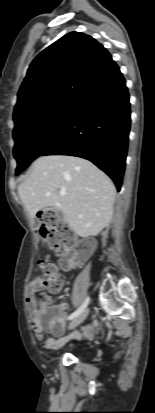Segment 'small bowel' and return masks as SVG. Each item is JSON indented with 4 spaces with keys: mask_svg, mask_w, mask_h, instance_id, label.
<instances>
[{
    "mask_svg": "<svg viewBox=\"0 0 155 413\" xmlns=\"http://www.w3.org/2000/svg\"><path fill=\"white\" fill-rule=\"evenodd\" d=\"M73 262L68 266H72ZM45 286L41 278L33 279L27 288L26 301L30 311L31 323L38 339L44 340V346L50 350H59L63 348L71 339L80 340L83 334L74 332L65 335V321L67 304L65 302L49 306V298L43 296L39 301L36 294L43 292ZM97 323L85 327L84 335L91 336L97 330ZM45 331L49 332L46 337Z\"/></svg>",
    "mask_w": 155,
    "mask_h": 413,
    "instance_id": "small-bowel-1",
    "label": "small bowel"
}]
</instances>
